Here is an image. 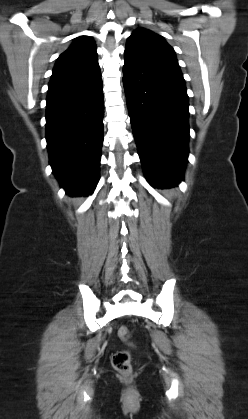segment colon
<instances>
[{"instance_id":"colon-1","label":"colon","mask_w":248,"mask_h":419,"mask_svg":"<svg viewBox=\"0 0 248 419\" xmlns=\"http://www.w3.org/2000/svg\"><path fill=\"white\" fill-rule=\"evenodd\" d=\"M118 336L125 342L130 343V332L122 326L117 330ZM114 369L123 375H129L131 372V354L128 350H120L112 357Z\"/></svg>"}]
</instances>
